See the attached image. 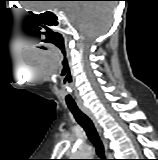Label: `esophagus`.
Listing matches in <instances>:
<instances>
[{
  "label": "esophagus",
  "instance_id": "esophagus-1",
  "mask_svg": "<svg viewBox=\"0 0 158 160\" xmlns=\"http://www.w3.org/2000/svg\"><path fill=\"white\" fill-rule=\"evenodd\" d=\"M79 108L81 109V111L83 113H85L91 119V121L93 122V124H94V126H95V128L98 132L99 137L101 138V140L104 143L105 148L107 150V141L103 136L102 128L99 126L94 114L88 108H86L85 106L79 105Z\"/></svg>",
  "mask_w": 158,
  "mask_h": 160
}]
</instances>
